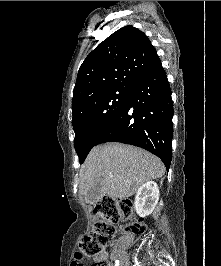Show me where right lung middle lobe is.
<instances>
[{"mask_svg":"<svg viewBox=\"0 0 221 266\" xmlns=\"http://www.w3.org/2000/svg\"><path fill=\"white\" fill-rule=\"evenodd\" d=\"M130 91L131 87H117L96 93L85 99L73 114L74 145L80 163L96 145L101 133L122 111Z\"/></svg>","mask_w":221,"mask_h":266,"instance_id":"right-lung-middle-lobe-1","label":"right lung middle lobe"}]
</instances>
